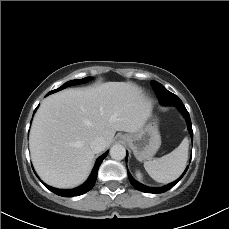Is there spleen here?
Segmentation results:
<instances>
[{"instance_id": "1", "label": "spleen", "mask_w": 229, "mask_h": 229, "mask_svg": "<svg viewBox=\"0 0 229 229\" xmlns=\"http://www.w3.org/2000/svg\"><path fill=\"white\" fill-rule=\"evenodd\" d=\"M189 141L184 138L172 152L153 161L144 162L147 173L159 183H170L184 171L188 159Z\"/></svg>"}]
</instances>
